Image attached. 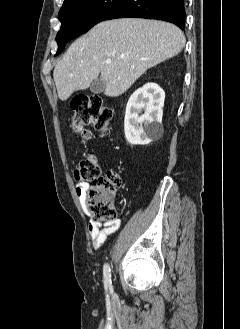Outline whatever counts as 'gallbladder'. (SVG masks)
<instances>
[{"mask_svg": "<svg viewBox=\"0 0 240 329\" xmlns=\"http://www.w3.org/2000/svg\"><path fill=\"white\" fill-rule=\"evenodd\" d=\"M105 81L102 78H97L90 85V91L95 94L104 92L105 90Z\"/></svg>", "mask_w": 240, "mask_h": 329, "instance_id": "1", "label": "gallbladder"}]
</instances>
